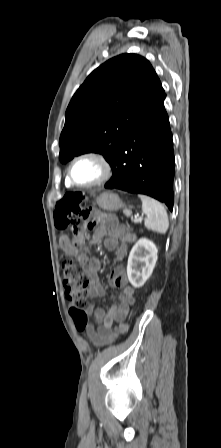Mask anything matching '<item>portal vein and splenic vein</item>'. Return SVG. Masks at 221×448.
I'll return each mask as SVG.
<instances>
[{
    "mask_svg": "<svg viewBox=\"0 0 221 448\" xmlns=\"http://www.w3.org/2000/svg\"><path fill=\"white\" fill-rule=\"evenodd\" d=\"M142 220H143V218H141V217L140 218L135 217L133 222L136 224V223L141 222Z\"/></svg>",
    "mask_w": 221,
    "mask_h": 448,
    "instance_id": "18ae733b",
    "label": "portal vein and splenic vein"
}]
</instances>
